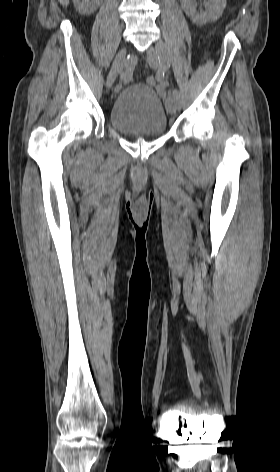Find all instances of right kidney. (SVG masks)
Returning a JSON list of instances; mask_svg holds the SVG:
<instances>
[{
	"mask_svg": "<svg viewBox=\"0 0 280 472\" xmlns=\"http://www.w3.org/2000/svg\"><path fill=\"white\" fill-rule=\"evenodd\" d=\"M76 1V8L84 15L94 13L100 6V0H74Z\"/></svg>",
	"mask_w": 280,
	"mask_h": 472,
	"instance_id": "1",
	"label": "right kidney"
}]
</instances>
